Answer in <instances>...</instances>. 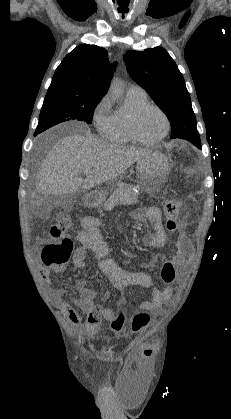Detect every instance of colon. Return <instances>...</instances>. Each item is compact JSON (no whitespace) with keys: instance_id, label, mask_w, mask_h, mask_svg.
Returning <instances> with one entry per match:
<instances>
[{"instance_id":"5ec220e1","label":"colon","mask_w":231,"mask_h":419,"mask_svg":"<svg viewBox=\"0 0 231 419\" xmlns=\"http://www.w3.org/2000/svg\"><path fill=\"white\" fill-rule=\"evenodd\" d=\"M181 204L177 199H168L164 203V214L166 218V227L169 231L177 229V220L180 215ZM72 227V222L67 215L61 216L49 228V234L54 240L42 249V260L46 265H62L66 263L73 252L74 244L70 238L64 237L65 233ZM159 278L167 287L174 285L176 278L175 260L170 254H167L160 264ZM103 312L100 305H95L92 314L99 319ZM148 319L145 313H137L131 322L134 332H140ZM125 324L123 311L119 310L110 317V329L113 332H122ZM150 346H147L149 348Z\"/></svg>"}]
</instances>
